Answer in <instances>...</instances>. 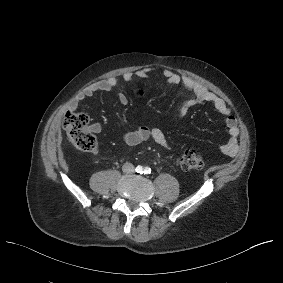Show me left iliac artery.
Returning <instances> with one entry per match:
<instances>
[{
  "mask_svg": "<svg viewBox=\"0 0 283 283\" xmlns=\"http://www.w3.org/2000/svg\"><path fill=\"white\" fill-rule=\"evenodd\" d=\"M144 173L145 174H150L151 173V169L146 167L145 170H144Z\"/></svg>",
  "mask_w": 283,
  "mask_h": 283,
  "instance_id": "1",
  "label": "left iliac artery"
}]
</instances>
